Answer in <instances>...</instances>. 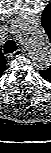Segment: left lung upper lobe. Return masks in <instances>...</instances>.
<instances>
[{"mask_svg": "<svg viewBox=\"0 0 51 153\" xmlns=\"http://www.w3.org/2000/svg\"><path fill=\"white\" fill-rule=\"evenodd\" d=\"M42 26L51 41V3H49L42 13ZM40 75L47 81L51 82V66L47 69L40 70Z\"/></svg>", "mask_w": 51, "mask_h": 153, "instance_id": "5c2ea615", "label": "left lung upper lobe"}]
</instances>
